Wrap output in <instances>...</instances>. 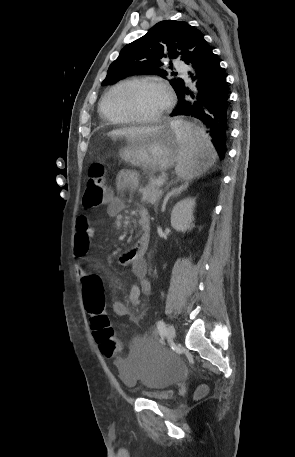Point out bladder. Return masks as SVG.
<instances>
[{
    "instance_id": "1",
    "label": "bladder",
    "mask_w": 295,
    "mask_h": 457,
    "mask_svg": "<svg viewBox=\"0 0 295 457\" xmlns=\"http://www.w3.org/2000/svg\"><path fill=\"white\" fill-rule=\"evenodd\" d=\"M129 350L116 362L119 380L127 387L140 386L137 392L144 398L159 403L171 401L174 395L167 386L178 380L173 375L177 352H169L170 348L159 342H142Z\"/></svg>"
}]
</instances>
